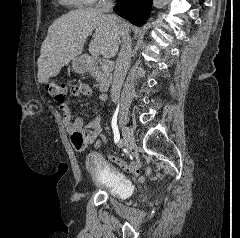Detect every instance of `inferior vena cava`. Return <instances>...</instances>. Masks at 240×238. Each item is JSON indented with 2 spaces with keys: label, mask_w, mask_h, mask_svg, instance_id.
<instances>
[{
  "label": "inferior vena cava",
  "mask_w": 240,
  "mask_h": 238,
  "mask_svg": "<svg viewBox=\"0 0 240 238\" xmlns=\"http://www.w3.org/2000/svg\"><path fill=\"white\" fill-rule=\"evenodd\" d=\"M103 13H109L113 10V3L111 1L106 2L100 9ZM108 18L117 26L122 27V45L118 54L116 67L114 71V78L111 88V98L113 102H117L120 96V90L122 83L125 79L126 73L130 67L132 56V42L129 36V28L124 26L123 21L116 15L108 14Z\"/></svg>",
  "instance_id": "602c4592"
}]
</instances>
